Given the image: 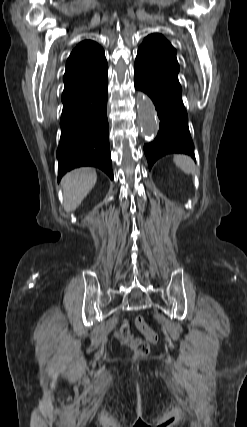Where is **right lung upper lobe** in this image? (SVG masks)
<instances>
[{
	"label": "right lung upper lobe",
	"instance_id": "right-lung-upper-lobe-1",
	"mask_svg": "<svg viewBox=\"0 0 247 427\" xmlns=\"http://www.w3.org/2000/svg\"><path fill=\"white\" fill-rule=\"evenodd\" d=\"M107 69L104 50L93 41H82L72 51L66 62L64 90L85 83Z\"/></svg>",
	"mask_w": 247,
	"mask_h": 427
}]
</instances>
